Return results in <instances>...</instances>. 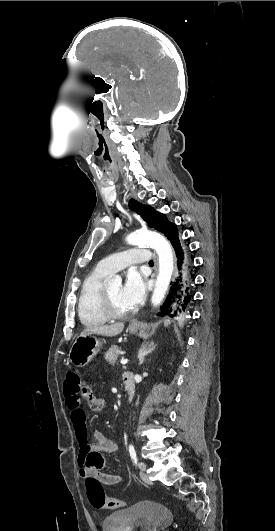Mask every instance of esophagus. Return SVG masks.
I'll return each instance as SVG.
<instances>
[{
	"label": "esophagus",
	"instance_id": "esophagus-1",
	"mask_svg": "<svg viewBox=\"0 0 275 531\" xmlns=\"http://www.w3.org/2000/svg\"><path fill=\"white\" fill-rule=\"evenodd\" d=\"M132 326H136V324H135V323H133V324H132Z\"/></svg>",
	"mask_w": 275,
	"mask_h": 531
}]
</instances>
